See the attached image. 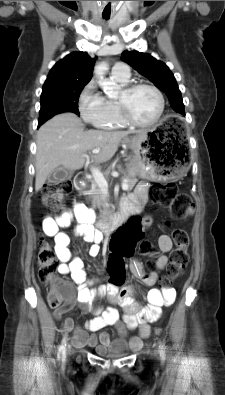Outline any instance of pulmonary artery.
<instances>
[{
    "label": "pulmonary artery",
    "instance_id": "e3ab8cb5",
    "mask_svg": "<svg viewBox=\"0 0 225 395\" xmlns=\"http://www.w3.org/2000/svg\"><path fill=\"white\" fill-rule=\"evenodd\" d=\"M111 75L117 79L129 80L130 70L128 65L122 62L116 63L112 68Z\"/></svg>",
    "mask_w": 225,
    "mask_h": 395
}]
</instances>
